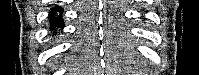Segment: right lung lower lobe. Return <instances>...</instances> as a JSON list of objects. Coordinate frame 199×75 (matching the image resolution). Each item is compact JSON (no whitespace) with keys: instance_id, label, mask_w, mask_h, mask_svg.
<instances>
[{"instance_id":"right-lung-lower-lobe-1","label":"right lung lower lobe","mask_w":199,"mask_h":75,"mask_svg":"<svg viewBox=\"0 0 199 75\" xmlns=\"http://www.w3.org/2000/svg\"><path fill=\"white\" fill-rule=\"evenodd\" d=\"M59 13V17H56L55 14L56 13ZM62 8L60 7H55V8H52L51 11H50V14L48 16L49 20L51 21V27L50 29H54V28H57V27H60V28H63L64 27V24H63V20H62Z\"/></svg>"}]
</instances>
